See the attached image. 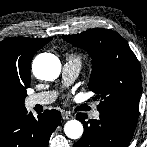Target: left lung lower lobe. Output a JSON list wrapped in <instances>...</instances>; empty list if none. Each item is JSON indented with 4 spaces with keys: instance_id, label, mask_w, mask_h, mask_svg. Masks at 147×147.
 I'll return each instance as SVG.
<instances>
[{
    "instance_id": "obj_1",
    "label": "left lung lower lobe",
    "mask_w": 147,
    "mask_h": 147,
    "mask_svg": "<svg viewBox=\"0 0 147 147\" xmlns=\"http://www.w3.org/2000/svg\"><path fill=\"white\" fill-rule=\"evenodd\" d=\"M77 119L84 125V133L74 147H127L135 128L119 118L100 113L99 120L85 121L86 114L79 113Z\"/></svg>"
}]
</instances>
